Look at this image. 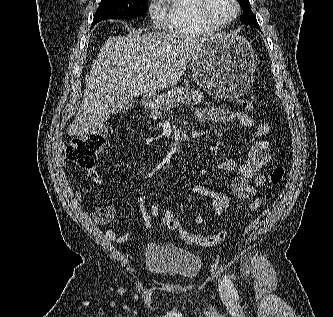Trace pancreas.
Masks as SVG:
<instances>
[{"label":"pancreas","mask_w":333,"mask_h":317,"mask_svg":"<svg viewBox=\"0 0 333 317\" xmlns=\"http://www.w3.org/2000/svg\"><path fill=\"white\" fill-rule=\"evenodd\" d=\"M204 100V95L200 90L187 87L172 88L167 93L162 94L151 109L150 117L157 121L165 113H168L171 107L181 104H200Z\"/></svg>","instance_id":"cf45deb5"}]
</instances>
